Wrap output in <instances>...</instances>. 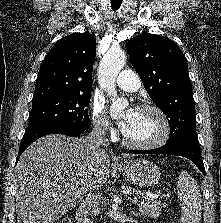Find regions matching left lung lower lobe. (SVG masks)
<instances>
[{"instance_id":"1","label":"left lung lower lobe","mask_w":221,"mask_h":223,"mask_svg":"<svg viewBox=\"0 0 221 223\" xmlns=\"http://www.w3.org/2000/svg\"><path fill=\"white\" fill-rule=\"evenodd\" d=\"M133 154H169L190 159L205 175V168L201 157L200 146L197 138H184L153 150H131Z\"/></svg>"}]
</instances>
